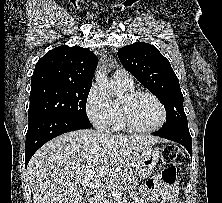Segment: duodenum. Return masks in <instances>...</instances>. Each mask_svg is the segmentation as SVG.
<instances>
[{"label":"duodenum","mask_w":222,"mask_h":203,"mask_svg":"<svg viewBox=\"0 0 222 203\" xmlns=\"http://www.w3.org/2000/svg\"><path fill=\"white\" fill-rule=\"evenodd\" d=\"M100 199V195L97 191H93L89 195V203H98Z\"/></svg>","instance_id":"1"}]
</instances>
